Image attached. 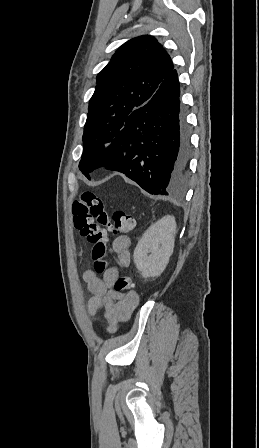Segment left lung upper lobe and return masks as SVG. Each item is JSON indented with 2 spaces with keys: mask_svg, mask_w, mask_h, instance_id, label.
<instances>
[{
  "mask_svg": "<svg viewBox=\"0 0 259 448\" xmlns=\"http://www.w3.org/2000/svg\"><path fill=\"white\" fill-rule=\"evenodd\" d=\"M174 69L172 60L150 35L133 38L116 50L97 75L84 126L82 173L124 127L129 114L145 105L163 79Z\"/></svg>",
  "mask_w": 259,
  "mask_h": 448,
  "instance_id": "5c2ea615",
  "label": "left lung upper lobe"
}]
</instances>
